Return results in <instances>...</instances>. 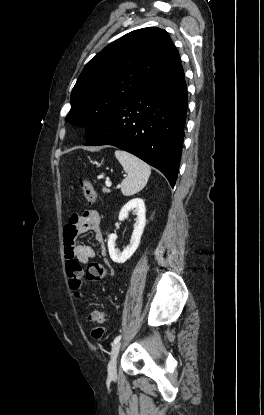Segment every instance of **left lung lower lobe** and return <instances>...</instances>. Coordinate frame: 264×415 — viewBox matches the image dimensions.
<instances>
[{
  "label": "left lung lower lobe",
  "instance_id": "left-lung-lower-lobe-1",
  "mask_svg": "<svg viewBox=\"0 0 264 415\" xmlns=\"http://www.w3.org/2000/svg\"><path fill=\"white\" fill-rule=\"evenodd\" d=\"M181 63L126 100L85 143L113 145L160 170L174 187L187 111Z\"/></svg>",
  "mask_w": 264,
  "mask_h": 415
}]
</instances>
